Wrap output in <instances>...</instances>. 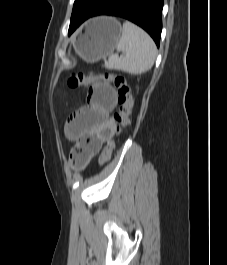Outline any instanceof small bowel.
I'll return each mask as SVG.
<instances>
[{"label":"small bowel","mask_w":227,"mask_h":265,"mask_svg":"<svg viewBox=\"0 0 227 265\" xmlns=\"http://www.w3.org/2000/svg\"><path fill=\"white\" fill-rule=\"evenodd\" d=\"M115 105L116 95L113 88L105 83H97L87 93V104L68 118L65 134L86 156V163L113 135L111 113Z\"/></svg>","instance_id":"obj_1"}]
</instances>
